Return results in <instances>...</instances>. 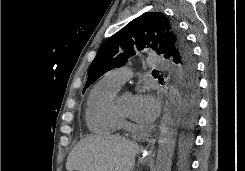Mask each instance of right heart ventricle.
<instances>
[{"mask_svg":"<svg viewBox=\"0 0 245 171\" xmlns=\"http://www.w3.org/2000/svg\"><path fill=\"white\" fill-rule=\"evenodd\" d=\"M118 90L104 78L93 86L85 111L86 124L92 133L116 134L121 129L123 120L112 104Z\"/></svg>","mask_w":245,"mask_h":171,"instance_id":"e07e8e85","label":"right heart ventricle"}]
</instances>
